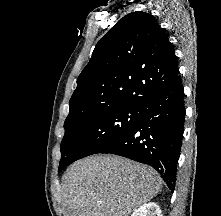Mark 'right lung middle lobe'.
<instances>
[{"instance_id": "right-lung-middle-lobe-1", "label": "right lung middle lobe", "mask_w": 221, "mask_h": 216, "mask_svg": "<svg viewBox=\"0 0 221 216\" xmlns=\"http://www.w3.org/2000/svg\"><path fill=\"white\" fill-rule=\"evenodd\" d=\"M139 107L113 108L64 126L59 171L83 157L100 153L126 134L138 118Z\"/></svg>"}]
</instances>
